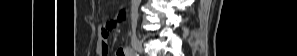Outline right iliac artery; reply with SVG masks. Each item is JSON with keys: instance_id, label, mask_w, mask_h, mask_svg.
I'll return each instance as SVG.
<instances>
[{"instance_id": "1", "label": "right iliac artery", "mask_w": 297, "mask_h": 56, "mask_svg": "<svg viewBox=\"0 0 297 56\" xmlns=\"http://www.w3.org/2000/svg\"><path fill=\"white\" fill-rule=\"evenodd\" d=\"M124 51H125V53H126L127 56H135L134 50L132 48H130V47H126L124 49Z\"/></svg>"}]
</instances>
